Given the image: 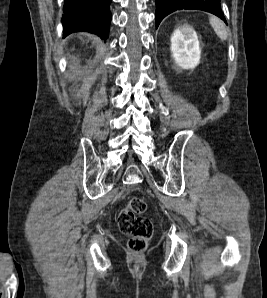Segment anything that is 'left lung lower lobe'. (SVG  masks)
Masks as SVG:
<instances>
[{
    "mask_svg": "<svg viewBox=\"0 0 267 298\" xmlns=\"http://www.w3.org/2000/svg\"><path fill=\"white\" fill-rule=\"evenodd\" d=\"M156 1V13L155 21L156 28L160 24L161 20L168 14L181 9H197L210 12L225 23L226 20L223 17L220 7V0H155Z\"/></svg>",
    "mask_w": 267,
    "mask_h": 298,
    "instance_id": "1",
    "label": "left lung lower lobe"
}]
</instances>
